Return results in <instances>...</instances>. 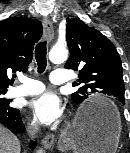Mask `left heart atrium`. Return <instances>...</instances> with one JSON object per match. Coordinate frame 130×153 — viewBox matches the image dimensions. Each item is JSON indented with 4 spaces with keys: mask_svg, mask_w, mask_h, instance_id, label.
<instances>
[{
    "mask_svg": "<svg viewBox=\"0 0 130 153\" xmlns=\"http://www.w3.org/2000/svg\"><path fill=\"white\" fill-rule=\"evenodd\" d=\"M29 108L34 117L43 124H52L63 114L61 100L52 92H46L33 99Z\"/></svg>",
    "mask_w": 130,
    "mask_h": 153,
    "instance_id": "left-heart-atrium-1",
    "label": "left heart atrium"
}]
</instances>
